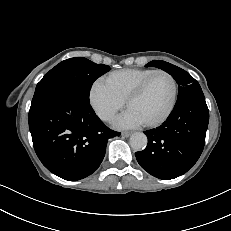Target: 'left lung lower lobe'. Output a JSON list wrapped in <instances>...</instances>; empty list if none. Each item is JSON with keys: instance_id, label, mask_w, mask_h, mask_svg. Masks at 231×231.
I'll return each instance as SVG.
<instances>
[{"instance_id": "1", "label": "left lung lower lobe", "mask_w": 231, "mask_h": 231, "mask_svg": "<svg viewBox=\"0 0 231 231\" xmlns=\"http://www.w3.org/2000/svg\"><path fill=\"white\" fill-rule=\"evenodd\" d=\"M208 122L209 111L200 85L186 86L167 120L160 127L144 132L148 145L135 153L138 163L160 179L183 175L203 151Z\"/></svg>"}]
</instances>
